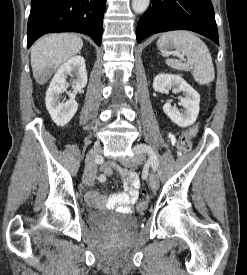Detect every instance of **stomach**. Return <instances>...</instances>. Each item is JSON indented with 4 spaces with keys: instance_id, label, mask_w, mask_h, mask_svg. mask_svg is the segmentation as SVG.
I'll return each mask as SVG.
<instances>
[{
    "instance_id": "1",
    "label": "stomach",
    "mask_w": 247,
    "mask_h": 275,
    "mask_svg": "<svg viewBox=\"0 0 247 275\" xmlns=\"http://www.w3.org/2000/svg\"><path fill=\"white\" fill-rule=\"evenodd\" d=\"M170 44V43H169ZM169 44H167L163 49H161V51H166L167 47L169 46Z\"/></svg>"
}]
</instances>
